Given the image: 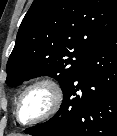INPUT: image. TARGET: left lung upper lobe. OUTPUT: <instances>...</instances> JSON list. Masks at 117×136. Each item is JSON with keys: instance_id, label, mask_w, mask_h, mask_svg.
<instances>
[{"instance_id": "5c2ea615", "label": "left lung upper lobe", "mask_w": 117, "mask_h": 136, "mask_svg": "<svg viewBox=\"0 0 117 136\" xmlns=\"http://www.w3.org/2000/svg\"><path fill=\"white\" fill-rule=\"evenodd\" d=\"M116 23L117 0H34L7 62L6 84L47 75L64 90Z\"/></svg>"}]
</instances>
